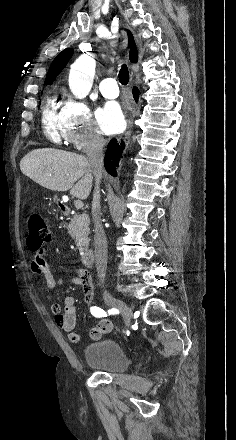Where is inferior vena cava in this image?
<instances>
[{
    "label": "inferior vena cava",
    "instance_id": "1",
    "mask_svg": "<svg viewBox=\"0 0 236 440\" xmlns=\"http://www.w3.org/2000/svg\"><path fill=\"white\" fill-rule=\"evenodd\" d=\"M105 141L103 137L94 133L87 148V156L91 172L95 177V188L92 200V218L94 223V246H95V263L97 269V276L100 283H103L107 270V240L101 222V207H100V180L102 178V163H103V147Z\"/></svg>",
    "mask_w": 236,
    "mask_h": 440
}]
</instances>
